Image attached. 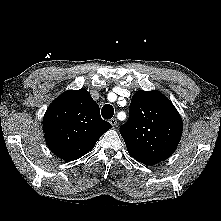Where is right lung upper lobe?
Returning <instances> with one entry per match:
<instances>
[{"label":"right lung upper lobe","instance_id":"1","mask_svg":"<svg viewBox=\"0 0 221 221\" xmlns=\"http://www.w3.org/2000/svg\"><path fill=\"white\" fill-rule=\"evenodd\" d=\"M111 128L102 120L98 104L84 89L68 90L48 107L43 131L49 149L66 161L81 158Z\"/></svg>","mask_w":221,"mask_h":221}]
</instances>
